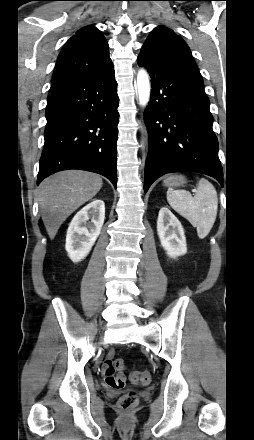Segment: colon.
<instances>
[{
    "label": "colon",
    "mask_w": 254,
    "mask_h": 440,
    "mask_svg": "<svg viewBox=\"0 0 254 440\" xmlns=\"http://www.w3.org/2000/svg\"><path fill=\"white\" fill-rule=\"evenodd\" d=\"M126 368V363L123 359H116L114 361V371H117L120 376L113 383L114 387L121 388L125 384V379L122 376L123 371ZM131 382L134 384H148L151 381V374L147 371L134 372L131 374ZM137 396L134 392H129L123 395L119 400V406L123 410H131L137 405Z\"/></svg>",
    "instance_id": "colon-1"
}]
</instances>
